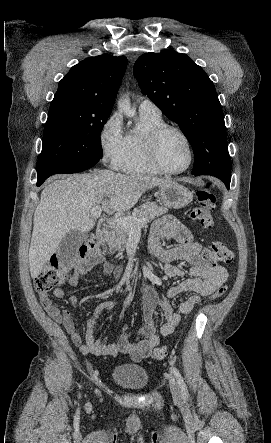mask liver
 I'll return each mask as SVG.
<instances>
[{"mask_svg":"<svg viewBox=\"0 0 271 443\" xmlns=\"http://www.w3.org/2000/svg\"><path fill=\"white\" fill-rule=\"evenodd\" d=\"M41 192L34 212L28 263L31 277L40 275L46 261L55 253L71 229L86 233L95 225L90 210L101 206L106 214L128 212L146 190L167 184L150 176H123L110 170L96 174L55 176Z\"/></svg>","mask_w":271,"mask_h":443,"instance_id":"1","label":"liver"}]
</instances>
